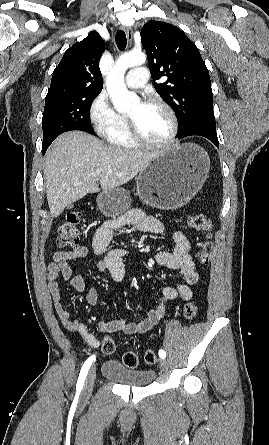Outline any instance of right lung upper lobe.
Instances as JSON below:
<instances>
[{
    "mask_svg": "<svg viewBox=\"0 0 269 445\" xmlns=\"http://www.w3.org/2000/svg\"><path fill=\"white\" fill-rule=\"evenodd\" d=\"M104 45L101 36L92 31L69 48L53 71L47 95L99 94L103 87L99 60Z\"/></svg>",
    "mask_w": 269,
    "mask_h": 445,
    "instance_id": "right-lung-upper-lobe-1",
    "label": "right lung upper lobe"
}]
</instances>
